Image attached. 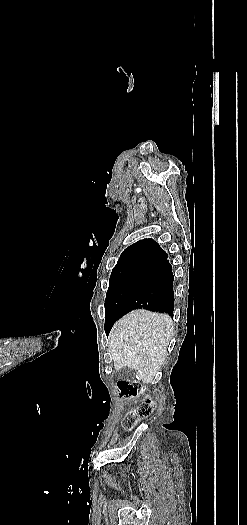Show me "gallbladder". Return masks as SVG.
Listing matches in <instances>:
<instances>
[{
    "label": "gallbladder",
    "mask_w": 247,
    "mask_h": 525,
    "mask_svg": "<svg viewBox=\"0 0 247 525\" xmlns=\"http://www.w3.org/2000/svg\"><path fill=\"white\" fill-rule=\"evenodd\" d=\"M115 377L119 381H123L125 379L133 380L135 378L134 369L131 366L122 365L116 372Z\"/></svg>",
    "instance_id": "obj_1"
}]
</instances>
